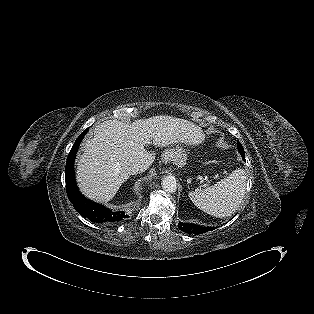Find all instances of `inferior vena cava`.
Listing matches in <instances>:
<instances>
[{"mask_svg": "<svg viewBox=\"0 0 314 314\" xmlns=\"http://www.w3.org/2000/svg\"><path fill=\"white\" fill-rule=\"evenodd\" d=\"M127 173L129 175H134V174H137V173H141L144 171V168L142 165L140 164H130L127 169H126Z\"/></svg>", "mask_w": 314, "mask_h": 314, "instance_id": "602c4592", "label": "inferior vena cava"}]
</instances>
